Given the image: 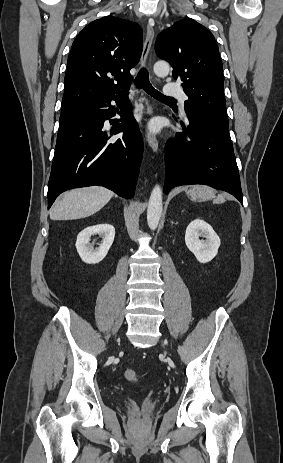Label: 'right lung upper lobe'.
Returning a JSON list of instances; mask_svg holds the SVG:
<instances>
[{
	"label": "right lung upper lobe",
	"instance_id": "cb5924a9",
	"mask_svg": "<svg viewBox=\"0 0 283 463\" xmlns=\"http://www.w3.org/2000/svg\"><path fill=\"white\" fill-rule=\"evenodd\" d=\"M142 29L113 16L97 19L76 37L67 61L61 114L99 97L127 91L142 53Z\"/></svg>",
	"mask_w": 283,
	"mask_h": 463
}]
</instances>
